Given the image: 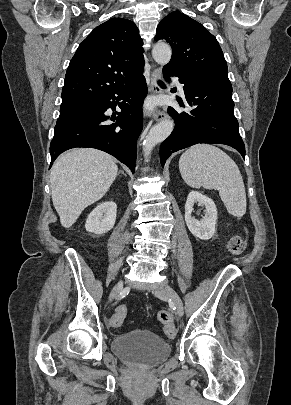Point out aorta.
<instances>
[{
  "instance_id": "762f6f07",
  "label": "aorta",
  "mask_w": 291,
  "mask_h": 405,
  "mask_svg": "<svg viewBox=\"0 0 291 405\" xmlns=\"http://www.w3.org/2000/svg\"><path fill=\"white\" fill-rule=\"evenodd\" d=\"M172 55L171 47L164 42H158L152 50L154 60L160 65L169 63ZM174 128L173 120H164L153 126L143 142L144 156L147 159L155 145L164 141Z\"/></svg>"
}]
</instances>
